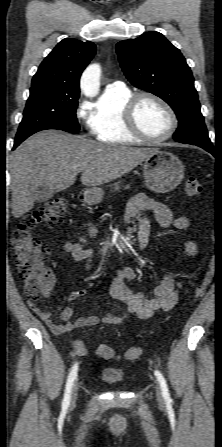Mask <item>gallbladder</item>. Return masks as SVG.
I'll return each instance as SVG.
<instances>
[{"label":"gallbladder","instance_id":"bac80fb5","mask_svg":"<svg viewBox=\"0 0 222 447\" xmlns=\"http://www.w3.org/2000/svg\"><path fill=\"white\" fill-rule=\"evenodd\" d=\"M54 194H55V191L49 189L46 186H41L37 189V191L35 193V196H36L35 201L37 203L46 202V201L50 200L54 196Z\"/></svg>","mask_w":222,"mask_h":447}]
</instances>
